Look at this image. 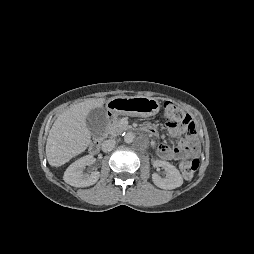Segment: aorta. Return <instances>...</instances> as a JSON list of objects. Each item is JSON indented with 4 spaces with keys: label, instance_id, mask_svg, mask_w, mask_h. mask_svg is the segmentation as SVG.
Masks as SVG:
<instances>
[{
    "label": "aorta",
    "instance_id": "obj_1",
    "mask_svg": "<svg viewBox=\"0 0 254 254\" xmlns=\"http://www.w3.org/2000/svg\"><path fill=\"white\" fill-rule=\"evenodd\" d=\"M134 138H135L134 134L132 132H128L124 136V141L126 143H132L134 141Z\"/></svg>",
    "mask_w": 254,
    "mask_h": 254
}]
</instances>
